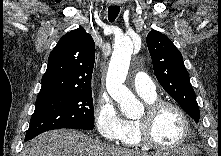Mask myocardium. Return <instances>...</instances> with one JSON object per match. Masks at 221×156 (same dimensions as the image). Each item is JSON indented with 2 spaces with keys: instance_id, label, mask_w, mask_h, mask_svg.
Returning a JSON list of instances; mask_svg holds the SVG:
<instances>
[{
  "instance_id": "1",
  "label": "myocardium",
  "mask_w": 221,
  "mask_h": 156,
  "mask_svg": "<svg viewBox=\"0 0 221 156\" xmlns=\"http://www.w3.org/2000/svg\"><path fill=\"white\" fill-rule=\"evenodd\" d=\"M165 108H172L178 112L184 122V134L175 145L166 146L159 144L152 137V126L158 114ZM192 131L191 121L186 111L177 103L168 100H156L147 105L142 117L136 120V133L139 142L145 146L158 150H175L184 145Z\"/></svg>"
}]
</instances>
